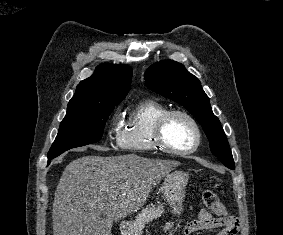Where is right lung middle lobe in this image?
<instances>
[{
	"label": "right lung middle lobe",
	"mask_w": 283,
	"mask_h": 235,
	"mask_svg": "<svg viewBox=\"0 0 283 235\" xmlns=\"http://www.w3.org/2000/svg\"><path fill=\"white\" fill-rule=\"evenodd\" d=\"M120 102L68 104L66 116L49 150L48 164L71 148L99 141L110 113Z\"/></svg>",
	"instance_id": "right-lung-middle-lobe-1"
}]
</instances>
